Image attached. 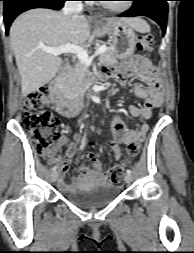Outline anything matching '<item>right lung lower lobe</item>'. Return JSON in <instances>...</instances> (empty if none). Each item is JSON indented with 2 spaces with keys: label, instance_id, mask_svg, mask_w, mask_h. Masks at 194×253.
Here are the masks:
<instances>
[{
  "label": "right lung lower lobe",
  "instance_id": "right-lung-lower-lobe-1",
  "mask_svg": "<svg viewBox=\"0 0 194 253\" xmlns=\"http://www.w3.org/2000/svg\"><path fill=\"white\" fill-rule=\"evenodd\" d=\"M4 1L6 34L13 20L22 12L33 8L60 9L66 0H0Z\"/></svg>",
  "mask_w": 194,
  "mask_h": 253
}]
</instances>
